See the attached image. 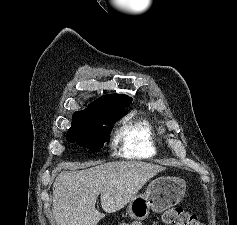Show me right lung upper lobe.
Masks as SVG:
<instances>
[{
	"label": "right lung upper lobe",
	"mask_w": 237,
	"mask_h": 225,
	"mask_svg": "<svg viewBox=\"0 0 237 225\" xmlns=\"http://www.w3.org/2000/svg\"><path fill=\"white\" fill-rule=\"evenodd\" d=\"M131 102L132 98L123 94L102 96L92 102L87 109L75 112L72 116V124L87 123L92 115L98 111H106L115 115H124L125 107H128Z\"/></svg>",
	"instance_id": "obj_1"
}]
</instances>
